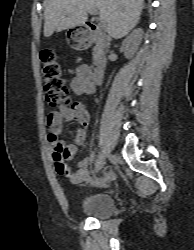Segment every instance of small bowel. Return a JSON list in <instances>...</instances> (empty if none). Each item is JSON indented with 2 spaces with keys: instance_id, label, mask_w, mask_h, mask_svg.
<instances>
[{
  "instance_id": "obj_1",
  "label": "small bowel",
  "mask_w": 194,
  "mask_h": 250,
  "mask_svg": "<svg viewBox=\"0 0 194 250\" xmlns=\"http://www.w3.org/2000/svg\"><path fill=\"white\" fill-rule=\"evenodd\" d=\"M91 69L88 65L77 68L70 83V89L75 95H92L95 91V83L91 79ZM77 121L79 127L75 133L74 143H65L59 139L65 122ZM90 123V114L85 106L76 103L72 107H61L59 110L51 111L47 117L48 140L51 144L52 156L56 172L66 176L73 184L86 182L90 177V167L93 157L84 158L78 164L76 171H71L66 161L74 157L87 136V127Z\"/></svg>"
}]
</instances>
